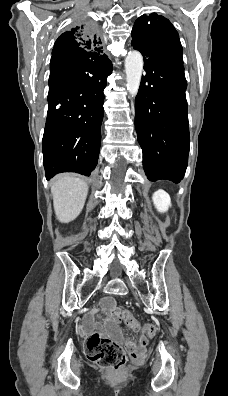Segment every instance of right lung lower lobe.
<instances>
[{"mask_svg":"<svg viewBox=\"0 0 228 396\" xmlns=\"http://www.w3.org/2000/svg\"><path fill=\"white\" fill-rule=\"evenodd\" d=\"M106 55L73 52L52 56L43 162L49 180L61 172L89 176L101 143L106 79L112 72Z\"/></svg>","mask_w":228,"mask_h":396,"instance_id":"right-lung-lower-lobe-1","label":"right lung lower lobe"}]
</instances>
